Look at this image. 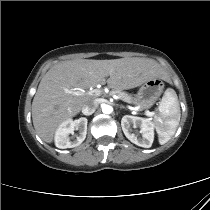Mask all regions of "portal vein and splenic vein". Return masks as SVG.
<instances>
[{
	"label": "portal vein and splenic vein",
	"instance_id": "18ae733b",
	"mask_svg": "<svg viewBox=\"0 0 210 210\" xmlns=\"http://www.w3.org/2000/svg\"><path fill=\"white\" fill-rule=\"evenodd\" d=\"M70 93H73L74 95H85L86 92L84 90H79V91H69ZM90 95H95V96H100L102 93L99 89H94L88 92ZM149 115V114H147Z\"/></svg>",
	"mask_w": 210,
	"mask_h": 210
}]
</instances>
